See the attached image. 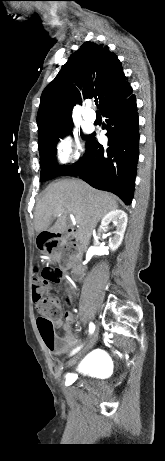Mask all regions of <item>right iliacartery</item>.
<instances>
[{
	"instance_id": "1",
	"label": "right iliac artery",
	"mask_w": 165,
	"mask_h": 461,
	"mask_svg": "<svg viewBox=\"0 0 165 461\" xmlns=\"http://www.w3.org/2000/svg\"><path fill=\"white\" fill-rule=\"evenodd\" d=\"M94 329H95L94 324H93V323H90V325H89V331H90V333H92V332L94 331ZM77 350H78V349H77ZM77 350H75L74 352H76ZM74 352H73V353H74Z\"/></svg>"
}]
</instances>
